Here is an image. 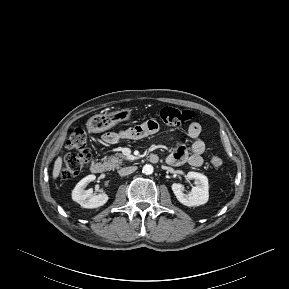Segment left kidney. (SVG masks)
Instances as JSON below:
<instances>
[{
  "label": "left kidney",
  "mask_w": 289,
  "mask_h": 289,
  "mask_svg": "<svg viewBox=\"0 0 289 289\" xmlns=\"http://www.w3.org/2000/svg\"><path fill=\"white\" fill-rule=\"evenodd\" d=\"M189 179L195 180V185L189 194L183 192V187L180 183L172 184V191L180 203L185 206H200L207 203L209 198L208 178L197 172H189Z\"/></svg>",
  "instance_id": "obj_1"
}]
</instances>
